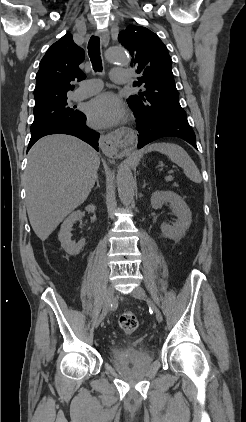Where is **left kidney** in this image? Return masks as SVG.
Here are the masks:
<instances>
[{"instance_id":"1","label":"left kidney","mask_w":246,"mask_h":422,"mask_svg":"<svg viewBox=\"0 0 246 422\" xmlns=\"http://www.w3.org/2000/svg\"><path fill=\"white\" fill-rule=\"evenodd\" d=\"M167 203L174 208L177 220L173 225L163 223L161 225L162 235L173 240L180 239L190 227L192 213L186 202L173 191L157 190L152 193L151 206L153 209H159Z\"/></svg>"}]
</instances>
